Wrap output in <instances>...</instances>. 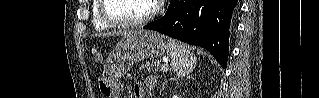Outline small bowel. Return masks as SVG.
Here are the masks:
<instances>
[{"label":"small bowel","instance_id":"c3829d8e","mask_svg":"<svg viewBox=\"0 0 319 98\" xmlns=\"http://www.w3.org/2000/svg\"><path fill=\"white\" fill-rule=\"evenodd\" d=\"M156 84L154 76H148L143 83H136L133 87L135 98H145L146 92L152 89Z\"/></svg>","mask_w":319,"mask_h":98}]
</instances>
